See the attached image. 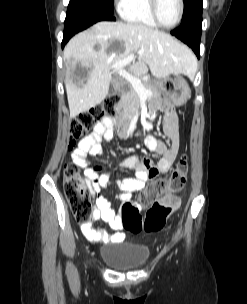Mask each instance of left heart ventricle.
<instances>
[{"label": "left heart ventricle", "mask_w": 247, "mask_h": 304, "mask_svg": "<svg viewBox=\"0 0 247 304\" xmlns=\"http://www.w3.org/2000/svg\"><path fill=\"white\" fill-rule=\"evenodd\" d=\"M158 15L164 25H173L179 16L178 0H159Z\"/></svg>", "instance_id": "left-heart-ventricle-1"}]
</instances>
